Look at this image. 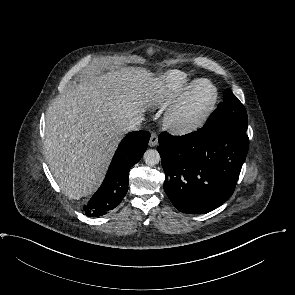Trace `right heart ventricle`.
I'll return each mask as SVG.
<instances>
[{"mask_svg": "<svg viewBox=\"0 0 295 295\" xmlns=\"http://www.w3.org/2000/svg\"><path fill=\"white\" fill-rule=\"evenodd\" d=\"M194 80L187 74L170 70L157 76L149 89V101L162 107L172 103Z\"/></svg>", "mask_w": 295, "mask_h": 295, "instance_id": "e07e8e85", "label": "right heart ventricle"}]
</instances>
